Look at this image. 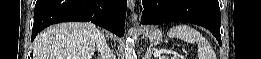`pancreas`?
I'll return each instance as SVG.
<instances>
[{"label": "pancreas", "instance_id": "cf45deb5", "mask_svg": "<svg viewBox=\"0 0 261 59\" xmlns=\"http://www.w3.org/2000/svg\"><path fill=\"white\" fill-rule=\"evenodd\" d=\"M159 59H169L167 56H160ZM171 59H177V57H171Z\"/></svg>", "mask_w": 261, "mask_h": 59}]
</instances>
